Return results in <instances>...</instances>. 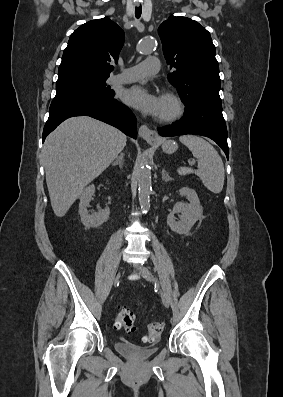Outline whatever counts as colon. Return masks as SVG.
Returning <instances> with one entry per match:
<instances>
[{
  "label": "colon",
  "instance_id": "5ec220e1",
  "mask_svg": "<svg viewBox=\"0 0 283 397\" xmlns=\"http://www.w3.org/2000/svg\"><path fill=\"white\" fill-rule=\"evenodd\" d=\"M115 326L117 328H123L127 332H133L135 330L133 314L124 307L118 308ZM162 331L163 324L161 322H150L147 325V332L144 339L146 341H154L160 337Z\"/></svg>",
  "mask_w": 283,
  "mask_h": 397
}]
</instances>
